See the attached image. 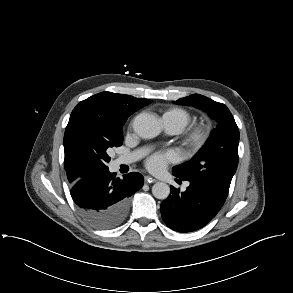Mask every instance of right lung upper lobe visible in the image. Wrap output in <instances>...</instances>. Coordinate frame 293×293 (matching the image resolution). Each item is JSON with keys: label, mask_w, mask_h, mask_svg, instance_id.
<instances>
[{"label": "right lung upper lobe", "mask_w": 293, "mask_h": 293, "mask_svg": "<svg viewBox=\"0 0 293 293\" xmlns=\"http://www.w3.org/2000/svg\"><path fill=\"white\" fill-rule=\"evenodd\" d=\"M91 97L100 98L109 109H113L115 111H119L122 113H134L135 111L139 110L140 108L148 105L151 100L144 99V98H135L130 95H123L118 93H111V92H101ZM79 105H77L71 113V119H69V125H67V129L73 122L72 120L75 117L76 111L78 110ZM71 120V121H70ZM67 133L64 135V144L65 147L67 146ZM64 167L66 169L67 177L70 183H74L78 178L79 175L71 168L68 161H64Z\"/></svg>", "instance_id": "obj_1"}]
</instances>
